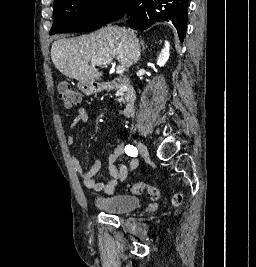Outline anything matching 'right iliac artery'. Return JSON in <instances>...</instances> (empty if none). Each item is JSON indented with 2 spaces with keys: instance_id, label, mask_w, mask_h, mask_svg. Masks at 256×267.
Segmentation results:
<instances>
[{
  "instance_id": "obj_1",
  "label": "right iliac artery",
  "mask_w": 256,
  "mask_h": 267,
  "mask_svg": "<svg viewBox=\"0 0 256 267\" xmlns=\"http://www.w3.org/2000/svg\"><path fill=\"white\" fill-rule=\"evenodd\" d=\"M125 153H126L128 156L136 157L137 154H138V150H137L136 147H134L133 145H126V146H125Z\"/></svg>"
}]
</instances>
